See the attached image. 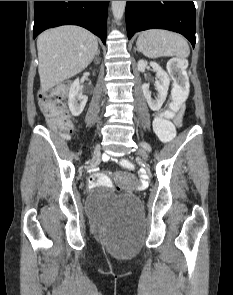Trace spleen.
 Wrapping results in <instances>:
<instances>
[{"instance_id":"3e777b00","label":"spleen","mask_w":233,"mask_h":295,"mask_svg":"<svg viewBox=\"0 0 233 295\" xmlns=\"http://www.w3.org/2000/svg\"><path fill=\"white\" fill-rule=\"evenodd\" d=\"M136 45L137 50L149 58L175 55L186 58L190 52L185 38L163 29H150L142 32Z\"/></svg>"}]
</instances>
